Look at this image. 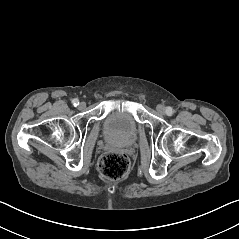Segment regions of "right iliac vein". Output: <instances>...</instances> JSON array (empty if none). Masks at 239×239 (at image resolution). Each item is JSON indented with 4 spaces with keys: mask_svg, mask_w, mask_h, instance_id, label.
Returning <instances> with one entry per match:
<instances>
[{
    "mask_svg": "<svg viewBox=\"0 0 239 239\" xmlns=\"http://www.w3.org/2000/svg\"><path fill=\"white\" fill-rule=\"evenodd\" d=\"M86 107V103L85 102H81L79 104V109H84Z\"/></svg>",
    "mask_w": 239,
    "mask_h": 239,
    "instance_id": "right-iliac-vein-1",
    "label": "right iliac vein"
}]
</instances>
